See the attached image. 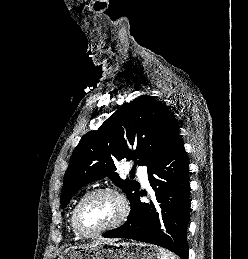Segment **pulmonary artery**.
<instances>
[{"instance_id":"e3ab8cb5","label":"pulmonary artery","mask_w":248,"mask_h":259,"mask_svg":"<svg viewBox=\"0 0 248 259\" xmlns=\"http://www.w3.org/2000/svg\"><path fill=\"white\" fill-rule=\"evenodd\" d=\"M139 177L144 186H148V178L146 172H144V169L142 167H138Z\"/></svg>"}]
</instances>
